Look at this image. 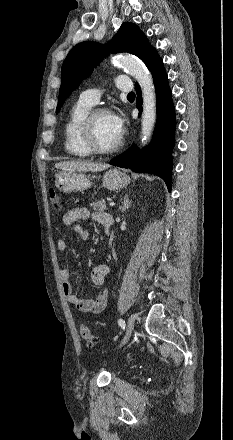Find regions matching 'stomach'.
Here are the masks:
<instances>
[{
    "instance_id": "stomach-1",
    "label": "stomach",
    "mask_w": 233,
    "mask_h": 440,
    "mask_svg": "<svg viewBox=\"0 0 233 440\" xmlns=\"http://www.w3.org/2000/svg\"><path fill=\"white\" fill-rule=\"evenodd\" d=\"M130 177L125 173L110 169L103 176V186L110 191H117L128 185ZM55 186L63 192L82 191L90 188V177L81 172H60L55 176Z\"/></svg>"
}]
</instances>
